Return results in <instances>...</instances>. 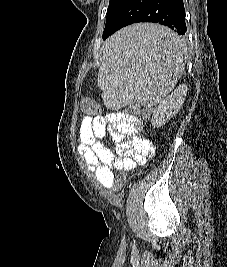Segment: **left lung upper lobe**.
<instances>
[{"mask_svg":"<svg viewBox=\"0 0 227 267\" xmlns=\"http://www.w3.org/2000/svg\"><path fill=\"white\" fill-rule=\"evenodd\" d=\"M127 1L128 0H110L106 20L116 13Z\"/></svg>","mask_w":227,"mask_h":267,"instance_id":"5c2ea615","label":"left lung upper lobe"}]
</instances>
